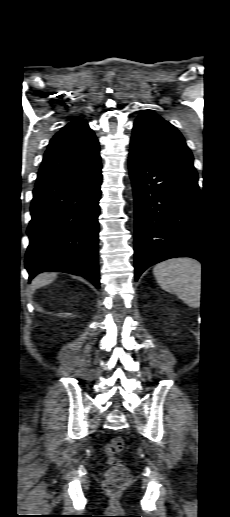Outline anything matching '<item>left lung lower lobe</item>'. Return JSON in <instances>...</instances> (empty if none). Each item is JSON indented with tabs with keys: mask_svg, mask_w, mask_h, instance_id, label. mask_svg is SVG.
<instances>
[{
	"mask_svg": "<svg viewBox=\"0 0 230 517\" xmlns=\"http://www.w3.org/2000/svg\"><path fill=\"white\" fill-rule=\"evenodd\" d=\"M129 172L135 202V280L169 258L192 257L204 263L195 169L130 149Z\"/></svg>",
	"mask_w": 230,
	"mask_h": 517,
	"instance_id": "0a47b994",
	"label": "left lung lower lobe"
}]
</instances>
